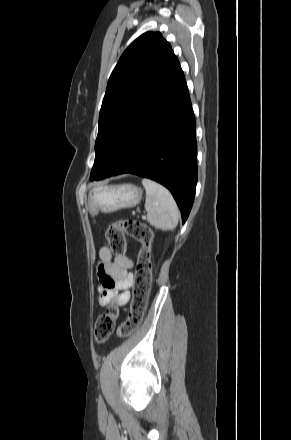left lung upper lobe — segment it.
<instances>
[{
	"instance_id": "left-lung-upper-lobe-1",
	"label": "left lung upper lobe",
	"mask_w": 291,
	"mask_h": 440,
	"mask_svg": "<svg viewBox=\"0 0 291 440\" xmlns=\"http://www.w3.org/2000/svg\"><path fill=\"white\" fill-rule=\"evenodd\" d=\"M179 67L159 32L142 34L124 51L102 102L90 179L102 172L130 127Z\"/></svg>"
}]
</instances>
